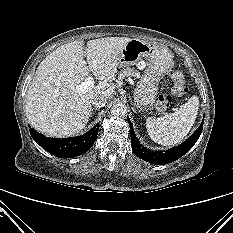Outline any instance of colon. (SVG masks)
Here are the masks:
<instances>
[{
  "label": "colon",
  "instance_id": "colon-1",
  "mask_svg": "<svg viewBox=\"0 0 233 233\" xmlns=\"http://www.w3.org/2000/svg\"><path fill=\"white\" fill-rule=\"evenodd\" d=\"M172 94L182 96L187 92L186 78L183 72L177 70L172 76ZM173 102V96L168 93H163L158 97L156 107L160 112L166 111Z\"/></svg>",
  "mask_w": 233,
  "mask_h": 233
}]
</instances>
